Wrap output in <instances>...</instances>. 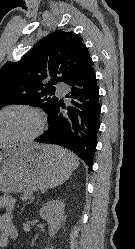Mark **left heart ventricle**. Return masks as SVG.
I'll return each mask as SVG.
<instances>
[{
	"label": "left heart ventricle",
	"mask_w": 135,
	"mask_h": 249,
	"mask_svg": "<svg viewBox=\"0 0 135 249\" xmlns=\"http://www.w3.org/2000/svg\"><path fill=\"white\" fill-rule=\"evenodd\" d=\"M34 129L35 120L25 111L11 110L0 115V139L26 136Z\"/></svg>",
	"instance_id": "obj_1"
}]
</instances>
